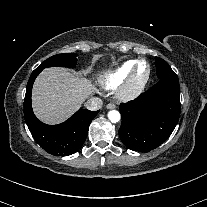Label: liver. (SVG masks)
<instances>
[{
    "instance_id": "6515ba94",
    "label": "liver",
    "mask_w": 207,
    "mask_h": 207,
    "mask_svg": "<svg viewBox=\"0 0 207 207\" xmlns=\"http://www.w3.org/2000/svg\"><path fill=\"white\" fill-rule=\"evenodd\" d=\"M94 91V85L66 68L44 69L32 90L35 115L47 124H57L73 115Z\"/></svg>"
}]
</instances>
